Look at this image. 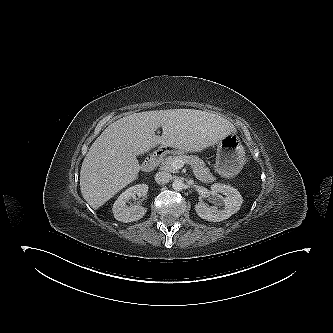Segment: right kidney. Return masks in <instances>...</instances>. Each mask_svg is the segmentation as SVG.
Returning <instances> with one entry per match:
<instances>
[{
  "instance_id": "ca27d5eb",
  "label": "right kidney",
  "mask_w": 333,
  "mask_h": 333,
  "mask_svg": "<svg viewBox=\"0 0 333 333\" xmlns=\"http://www.w3.org/2000/svg\"><path fill=\"white\" fill-rule=\"evenodd\" d=\"M148 191V185L146 184H137L126 189L118 199L115 201L112 211L116 220L121 222H132L141 219L145 213L146 208L140 205L128 206L127 202L137 196H143Z\"/></svg>"
}]
</instances>
